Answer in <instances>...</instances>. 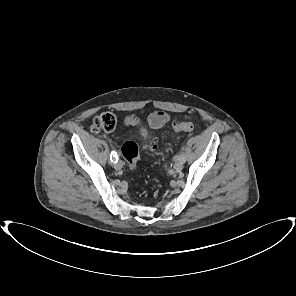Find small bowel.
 I'll return each mask as SVG.
<instances>
[{
    "mask_svg": "<svg viewBox=\"0 0 296 296\" xmlns=\"http://www.w3.org/2000/svg\"><path fill=\"white\" fill-rule=\"evenodd\" d=\"M170 121V116L168 113L163 111H157L152 113L148 117V124L152 129H159L166 125ZM127 124L130 126L138 127L142 135H146V129L141 124L140 120L135 116H129L126 120Z\"/></svg>",
    "mask_w": 296,
    "mask_h": 296,
    "instance_id": "obj_1",
    "label": "small bowel"
}]
</instances>
